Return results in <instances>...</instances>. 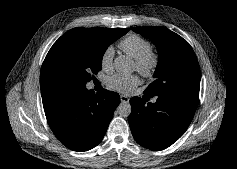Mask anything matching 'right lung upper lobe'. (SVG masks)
I'll return each instance as SVG.
<instances>
[{
    "mask_svg": "<svg viewBox=\"0 0 237 169\" xmlns=\"http://www.w3.org/2000/svg\"><path fill=\"white\" fill-rule=\"evenodd\" d=\"M74 29H79V30H83L89 33H97V34H102V35H106V34H111L114 33L118 30L121 29H109V28H74ZM124 30H128L129 29H124ZM46 89V86H41V92H43Z\"/></svg>",
    "mask_w": 237,
    "mask_h": 169,
    "instance_id": "1",
    "label": "right lung upper lobe"
}]
</instances>
